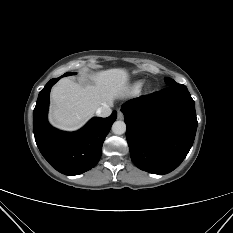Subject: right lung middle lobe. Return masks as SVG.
Instances as JSON below:
<instances>
[{"instance_id": "right-lung-middle-lobe-1", "label": "right lung middle lobe", "mask_w": 233, "mask_h": 233, "mask_svg": "<svg viewBox=\"0 0 233 233\" xmlns=\"http://www.w3.org/2000/svg\"><path fill=\"white\" fill-rule=\"evenodd\" d=\"M72 74H74V73H65L64 75H62L61 77H64V76H68V75H72Z\"/></svg>"}]
</instances>
